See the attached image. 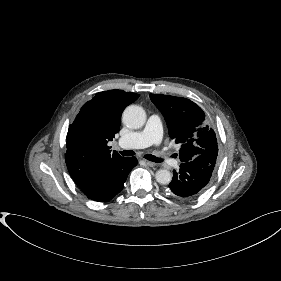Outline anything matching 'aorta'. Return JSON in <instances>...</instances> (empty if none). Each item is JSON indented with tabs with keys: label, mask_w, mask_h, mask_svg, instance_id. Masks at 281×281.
Here are the masks:
<instances>
[{
	"label": "aorta",
	"mask_w": 281,
	"mask_h": 281,
	"mask_svg": "<svg viewBox=\"0 0 281 281\" xmlns=\"http://www.w3.org/2000/svg\"><path fill=\"white\" fill-rule=\"evenodd\" d=\"M123 123L133 129L141 128L146 121L144 109L137 105L128 106L123 112ZM156 181L160 184H169L172 180V174L166 169H160L155 175Z\"/></svg>",
	"instance_id": "aorta-1"
}]
</instances>
